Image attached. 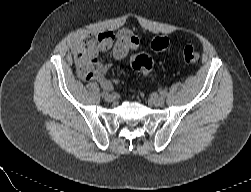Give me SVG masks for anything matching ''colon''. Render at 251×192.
<instances>
[{"instance_id": "1", "label": "colon", "mask_w": 251, "mask_h": 192, "mask_svg": "<svg viewBox=\"0 0 251 192\" xmlns=\"http://www.w3.org/2000/svg\"><path fill=\"white\" fill-rule=\"evenodd\" d=\"M170 43L166 37L157 36L151 42V48L156 51H165L169 48ZM184 63L193 64L199 61L200 52L194 47L187 45L181 49ZM131 66L134 70L143 75H150L153 68V61L147 54H137L131 58Z\"/></svg>"}]
</instances>
